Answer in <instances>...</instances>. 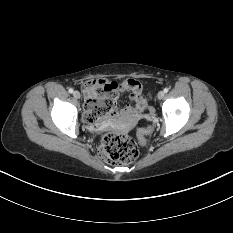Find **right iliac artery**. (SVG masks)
<instances>
[{"label":"right iliac artery","instance_id":"right-iliac-artery-1","mask_svg":"<svg viewBox=\"0 0 233 233\" xmlns=\"http://www.w3.org/2000/svg\"><path fill=\"white\" fill-rule=\"evenodd\" d=\"M68 91H69V93H73V89L72 88H70Z\"/></svg>","mask_w":233,"mask_h":233}]
</instances>
